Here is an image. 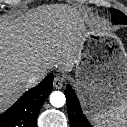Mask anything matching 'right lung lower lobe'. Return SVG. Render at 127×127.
I'll return each instance as SVG.
<instances>
[{
  "mask_svg": "<svg viewBox=\"0 0 127 127\" xmlns=\"http://www.w3.org/2000/svg\"><path fill=\"white\" fill-rule=\"evenodd\" d=\"M54 75L24 93L6 112L0 114V127H36L39 111L52 91Z\"/></svg>",
  "mask_w": 127,
  "mask_h": 127,
  "instance_id": "right-lung-lower-lobe-1",
  "label": "right lung lower lobe"
}]
</instances>
